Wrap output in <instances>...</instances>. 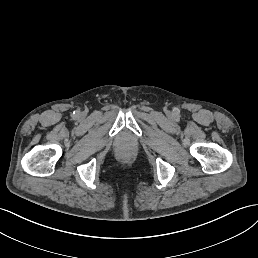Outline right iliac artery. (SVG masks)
Wrapping results in <instances>:
<instances>
[{"instance_id":"obj_1","label":"right iliac artery","mask_w":258,"mask_h":258,"mask_svg":"<svg viewBox=\"0 0 258 258\" xmlns=\"http://www.w3.org/2000/svg\"><path fill=\"white\" fill-rule=\"evenodd\" d=\"M73 113H74L75 116H77V115H79L80 110H75Z\"/></svg>"}]
</instances>
